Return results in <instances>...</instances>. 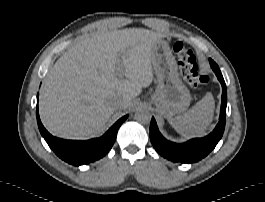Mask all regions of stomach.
I'll return each instance as SVG.
<instances>
[{
	"mask_svg": "<svg viewBox=\"0 0 265 202\" xmlns=\"http://www.w3.org/2000/svg\"><path fill=\"white\" fill-rule=\"evenodd\" d=\"M151 62L158 81L152 96L156 112L170 119L186 111L191 101L190 92L179 78L168 42L160 39L152 46Z\"/></svg>",
	"mask_w": 265,
	"mask_h": 202,
	"instance_id": "stomach-1",
	"label": "stomach"
}]
</instances>
